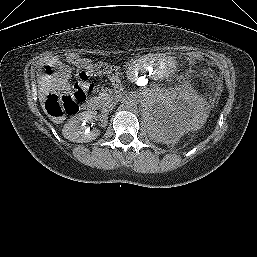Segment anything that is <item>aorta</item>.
<instances>
[{
    "instance_id": "762f6f07",
    "label": "aorta",
    "mask_w": 257,
    "mask_h": 257,
    "mask_svg": "<svg viewBox=\"0 0 257 257\" xmlns=\"http://www.w3.org/2000/svg\"><path fill=\"white\" fill-rule=\"evenodd\" d=\"M136 106H137V102H136V100H134V99L129 98V99H127L126 102H125V107H126L128 110H133V109L136 108Z\"/></svg>"
}]
</instances>
